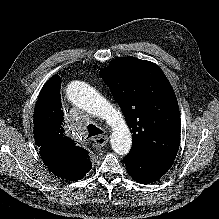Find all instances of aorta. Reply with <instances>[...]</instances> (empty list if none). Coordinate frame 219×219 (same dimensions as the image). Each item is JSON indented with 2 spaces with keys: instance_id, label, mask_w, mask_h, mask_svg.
<instances>
[{
  "instance_id": "762f6f07",
  "label": "aorta",
  "mask_w": 219,
  "mask_h": 219,
  "mask_svg": "<svg viewBox=\"0 0 219 219\" xmlns=\"http://www.w3.org/2000/svg\"><path fill=\"white\" fill-rule=\"evenodd\" d=\"M66 94L77 107L103 120L111 129V147L119 155H127L132 146V136L124 116L96 89L81 82H71Z\"/></svg>"
}]
</instances>
